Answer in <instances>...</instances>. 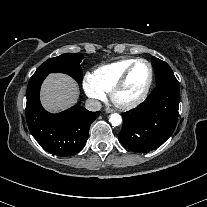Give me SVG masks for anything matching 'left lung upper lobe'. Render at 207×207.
Wrapping results in <instances>:
<instances>
[{"label":"left lung upper lobe","mask_w":207,"mask_h":207,"mask_svg":"<svg viewBox=\"0 0 207 207\" xmlns=\"http://www.w3.org/2000/svg\"><path fill=\"white\" fill-rule=\"evenodd\" d=\"M152 65L155 69L156 85L169 81H177L172 69L166 62L156 57H152Z\"/></svg>","instance_id":"1"}]
</instances>
